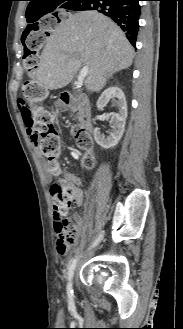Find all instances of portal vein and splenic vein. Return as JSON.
<instances>
[{
  "instance_id": "portal-vein-and-splenic-vein-1",
  "label": "portal vein and splenic vein",
  "mask_w": 183,
  "mask_h": 329,
  "mask_svg": "<svg viewBox=\"0 0 183 329\" xmlns=\"http://www.w3.org/2000/svg\"><path fill=\"white\" fill-rule=\"evenodd\" d=\"M89 73L88 67H83L78 75V82L76 83V88H79L82 83L84 78L87 76Z\"/></svg>"
}]
</instances>
